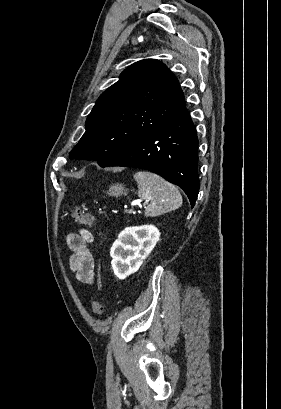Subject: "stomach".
<instances>
[{
	"instance_id": "obj_1",
	"label": "stomach",
	"mask_w": 281,
	"mask_h": 409,
	"mask_svg": "<svg viewBox=\"0 0 281 409\" xmlns=\"http://www.w3.org/2000/svg\"><path fill=\"white\" fill-rule=\"evenodd\" d=\"M127 188H125V184H119V182H116V184H111L108 194L110 196H121V194H126Z\"/></svg>"
}]
</instances>
